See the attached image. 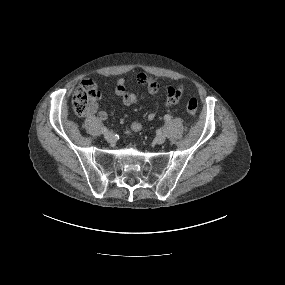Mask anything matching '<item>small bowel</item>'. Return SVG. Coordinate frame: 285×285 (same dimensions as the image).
I'll list each match as a JSON object with an SVG mask.
<instances>
[{
    "label": "small bowel",
    "mask_w": 285,
    "mask_h": 285,
    "mask_svg": "<svg viewBox=\"0 0 285 285\" xmlns=\"http://www.w3.org/2000/svg\"><path fill=\"white\" fill-rule=\"evenodd\" d=\"M137 82L141 84L142 86L146 87L147 91L154 95L157 94L160 90V86L158 82L152 78L151 76L141 73L137 77ZM164 92L166 94V100L164 102V106L166 108H170L173 106H176L181 96L184 92V86L182 84L178 86H167L164 88ZM111 97H118L122 100L123 104L126 106H130L133 104H136L140 101L138 96L129 91L126 86V80L123 78H120L114 88L113 94ZM102 98V95L98 93L91 101L87 113L89 115H95L99 121H106L108 118V114L105 111H101L99 109V101ZM156 118L155 112H149L147 114V119L149 121H153ZM142 124L140 122H134L131 124V129L135 132L140 131L142 129Z\"/></svg>",
    "instance_id": "c3829d8e"
}]
</instances>
